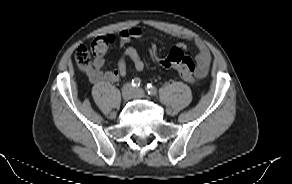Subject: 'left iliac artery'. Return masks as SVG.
Returning <instances> with one entry per match:
<instances>
[{
	"instance_id": "left-iliac-artery-1",
	"label": "left iliac artery",
	"mask_w": 292,
	"mask_h": 184,
	"mask_svg": "<svg viewBox=\"0 0 292 184\" xmlns=\"http://www.w3.org/2000/svg\"><path fill=\"white\" fill-rule=\"evenodd\" d=\"M145 89L149 95H151V96L157 95V89L152 84H147L145 86Z\"/></svg>"
}]
</instances>
